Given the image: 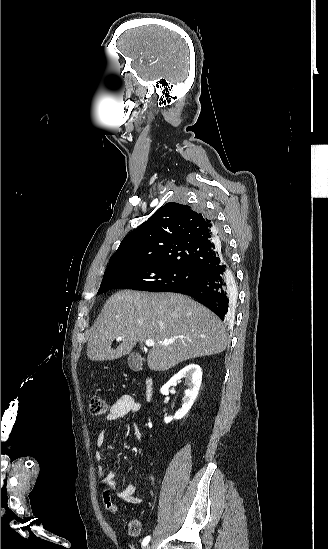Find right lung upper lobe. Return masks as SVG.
Segmentation results:
<instances>
[{
	"label": "right lung upper lobe",
	"instance_id": "right-lung-upper-lobe-1",
	"mask_svg": "<svg viewBox=\"0 0 328 549\" xmlns=\"http://www.w3.org/2000/svg\"><path fill=\"white\" fill-rule=\"evenodd\" d=\"M226 256V244L213 220L188 205L169 202L122 240L106 271L142 261L205 273L217 268Z\"/></svg>",
	"mask_w": 328,
	"mask_h": 549
}]
</instances>
